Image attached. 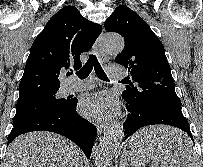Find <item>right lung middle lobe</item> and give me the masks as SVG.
I'll return each mask as SVG.
<instances>
[{"mask_svg": "<svg viewBox=\"0 0 203 167\" xmlns=\"http://www.w3.org/2000/svg\"><path fill=\"white\" fill-rule=\"evenodd\" d=\"M56 93L53 92L27 103L17 105L16 115L13 118V127L32 118L66 109L70 105L71 99H59L56 97Z\"/></svg>", "mask_w": 203, "mask_h": 167, "instance_id": "dd1d6c3e", "label": "right lung middle lobe"}]
</instances>
